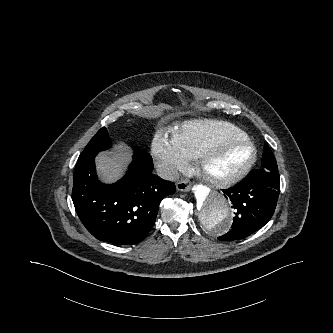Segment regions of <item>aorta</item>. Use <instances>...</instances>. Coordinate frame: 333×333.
<instances>
[{"label": "aorta", "mask_w": 333, "mask_h": 333, "mask_svg": "<svg viewBox=\"0 0 333 333\" xmlns=\"http://www.w3.org/2000/svg\"><path fill=\"white\" fill-rule=\"evenodd\" d=\"M192 204L198 221L212 232L218 233L228 224L230 206L227 198L219 191L196 187Z\"/></svg>", "instance_id": "762f6f07"}]
</instances>
